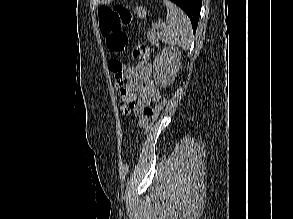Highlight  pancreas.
<instances>
[{
	"instance_id": "cf45deb5",
	"label": "pancreas",
	"mask_w": 293,
	"mask_h": 219,
	"mask_svg": "<svg viewBox=\"0 0 293 219\" xmlns=\"http://www.w3.org/2000/svg\"><path fill=\"white\" fill-rule=\"evenodd\" d=\"M158 39H159V35L157 32H155L154 30H151L148 32V40L153 44L158 46Z\"/></svg>"
}]
</instances>
